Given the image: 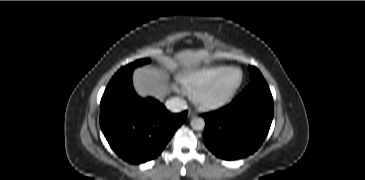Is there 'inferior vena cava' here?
I'll return each mask as SVG.
<instances>
[{
  "instance_id": "inferior-vena-cava-1",
  "label": "inferior vena cava",
  "mask_w": 365,
  "mask_h": 180,
  "mask_svg": "<svg viewBox=\"0 0 365 180\" xmlns=\"http://www.w3.org/2000/svg\"><path fill=\"white\" fill-rule=\"evenodd\" d=\"M165 106L172 112H181L187 109V103L185 100L179 97H173L166 101Z\"/></svg>"
}]
</instances>
